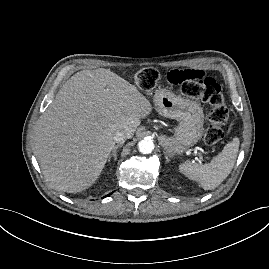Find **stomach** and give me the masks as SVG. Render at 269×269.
I'll list each match as a JSON object with an SVG mask.
<instances>
[{
	"label": "stomach",
	"mask_w": 269,
	"mask_h": 269,
	"mask_svg": "<svg viewBox=\"0 0 269 269\" xmlns=\"http://www.w3.org/2000/svg\"><path fill=\"white\" fill-rule=\"evenodd\" d=\"M153 102L161 115L179 122L173 136L161 135L158 138L168 155L183 153L201 139L204 130V113L199 103L177 96L166 89L156 90Z\"/></svg>",
	"instance_id": "stomach-1"
}]
</instances>
